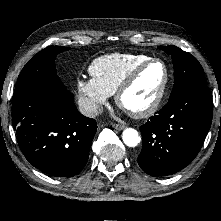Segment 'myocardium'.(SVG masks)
I'll use <instances>...</instances> for the list:
<instances>
[{
    "mask_svg": "<svg viewBox=\"0 0 221 221\" xmlns=\"http://www.w3.org/2000/svg\"><path fill=\"white\" fill-rule=\"evenodd\" d=\"M153 63H160L162 64L164 68V79L162 81V84L160 86V89L153 99V101L146 106L145 108L137 111H131L124 108L122 104V98L124 94L131 88V86L135 83V81L138 79L140 74L151 64ZM169 78H170V72L168 65L165 63L164 60L160 58H149L146 61L140 63L138 66H136L122 81V83L119 85L115 92V100L117 105L125 110L130 116L134 118H146L154 114L159 106L161 105L163 98L165 96L168 84H169Z\"/></svg>",
    "mask_w": 221,
    "mask_h": 221,
    "instance_id": "f54148a6",
    "label": "myocardium"
}]
</instances>
